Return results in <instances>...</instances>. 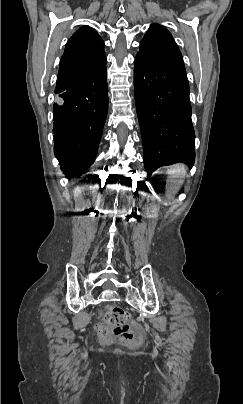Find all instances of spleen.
Wrapping results in <instances>:
<instances>
[{"mask_svg":"<svg viewBox=\"0 0 243 404\" xmlns=\"http://www.w3.org/2000/svg\"><path fill=\"white\" fill-rule=\"evenodd\" d=\"M170 176H177V178H184L186 176V168L184 164H176L169 170Z\"/></svg>","mask_w":243,"mask_h":404,"instance_id":"3e777b00","label":"spleen"}]
</instances>
